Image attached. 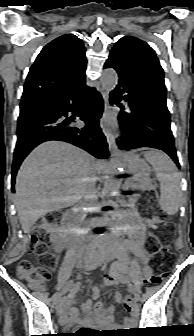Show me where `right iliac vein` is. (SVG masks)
I'll use <instances>...</instances> for the list:
<instances>
[{
	"label": "right iliac vein",
	"instance_id": "obj_1",
	"mask_svg": "<svg viewBox=\"0 0 194 336\" xmlns=\"http://www.w3.org/2000/svg\"><path fill=\"white\" fill-rule=\"evenodd\" d=\"M56 307H57V310L59 311L60 310V302L58 303V305Z\"/></svg>",
	"mask_w": 194,
	"mask_h": 336
}]
</instances>
